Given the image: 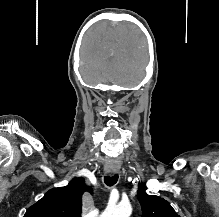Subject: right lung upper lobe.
Instances as JSON below:
<instances>
[{
  "label": "right lung upper lobe",
  "instance_id": "obj_1",
  "mask_svg": "<svg viewBox=\"0 0 219 217\" xmlns=\"http://www.w3.org/2000/svg\"><path fill=\"white\" fill-rule=\"evenodd\" d=\"M85 190L92 192L82 178H74L65 187L49 190L24 217H80Z\"/></svg>",
  "mask_w": 219,
  "mask_h": 217
}]
</instances>
